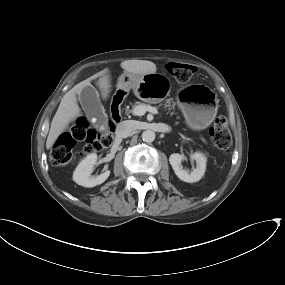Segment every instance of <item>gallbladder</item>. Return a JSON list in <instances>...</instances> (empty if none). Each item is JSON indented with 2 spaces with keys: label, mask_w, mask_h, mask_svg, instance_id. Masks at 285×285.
Wrapping results in <instances>:
<instances>
[{
  "label": "gallbladder",
  "mask_w": 285,
  "mask_h": 285,
  "mask_svg": "<svg viewBox=\"0 0 285 285\" xmlns=\"http://www.w3.org/2000/svg\"><path fill=\"white\" fill-rule=\"evenodd\" d=\"M79 100L89 120L95 119V124H105L107 122V114L100 102L98 91L92 85L89 84L83 87Z\"/></svg>",
  "instance_id": "1"
}]
</instances>
